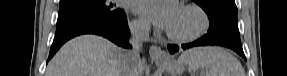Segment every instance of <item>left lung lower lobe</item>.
I'll return each mask as SVG.
<instances>
[{
    "mask_svg": "<svg viewBox=\"0 0 287 76\" xmlns=\"http://www.w3.org/2000/svg\"><path fill=\"white\" fill-rule=\"evenodd\" d=\"M205 45H221V46H226L228 48H231L232 50H234L236 53H238L240 56H242L244 59L245 55L242 49V45L241 42H233V41H229L223 38H219V37H215L213 35L210 34H206L203 37H201L200 39H198L195 42L189 43V44H183L182 48L183 49H188L191 47H195V46H205ZM168 50L170 53H176L177 51H179V46L178 45H168L167 46Z\"/></svg>",
    "mask_w": 287,
    "mask_h": 76,
    "instance_id": "left-lung-lower-lobe-1",
    "label": "left lung lower lobe"
}]
</instances>
